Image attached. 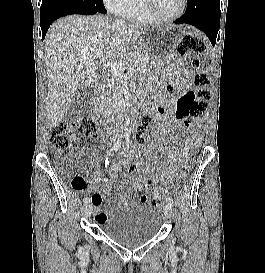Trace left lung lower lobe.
<instances>
[{"label":"left lung lower lobe","instance_id":"1","mask_svg":"<svg viewBox=\"0 0 265 273\" xmlns=\"http://www.w3.org/2000/svg\"><path fill=\"white\" fill-rule=\"evenodd\" d=\"M187 2L185 14L175 23L197 27L208 36L212 45H215L220 25V1L187 0Z\"/></svg>","mask_w":265,"mask_h":273}]
</instances>
